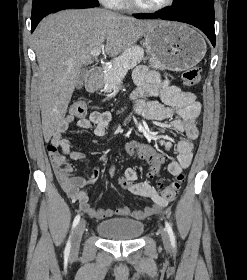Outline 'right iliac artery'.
Instances as JSON below:
<instances>
[{
	"mask_svg": "<svg viewBox=\"0 0 247 280\" xmlns=\"http://www.w3.org/2000/svg\"><path fill=\"white\" fill-rule=\"evenodd\" d=\"M80 221V215H77L73 221V225H72V233H73V230L75 229V227L78 225ZM70 248H71V235L67 241V244H66V248H65V253L66 254H69L70 252Z\"/></svg>",
	"mask_w": 247,
	"mask_h": 280,
	"instance_id": "right-iliac-artery-1",
	"label": "right iliac artery"
}]
</instances>
